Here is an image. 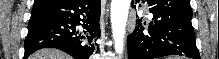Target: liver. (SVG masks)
<instances>
[{
    "instance_id": "6515ba94",
    "label": "liver",
    "mask_w": 219,
    "mask_h": 59,
    "mask_svg": "<svg viewBox=\"0 0 219 59\" xmlns=\"http://www.w3.org/2000/svg\"><path fill=\"white\" fill-rule=\"evenodd\" d=\"M29 59H71V57L60 50L46 48L33 53Z\"/></svg>"
}]
</instances>
